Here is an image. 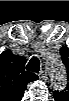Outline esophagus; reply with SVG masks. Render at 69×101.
I'll list each match as a JSON object with an SVG mask.
<instances>
[{
    "mask_svg": "<svg viewBox=\"0 0 69 101\" xmlns=\"http://www.w3.org/2000/svg\"><path fill=\"white\" fill-rule=\"evenodd\" d=\"M39 78L41 79V80H46L47 79V71L46 70H41L40 72H39Z\"/></svg>",
    "mask_w": 69,
    "mask_h": 101,
    "instance_id": "34e87169",
    "label": "esophagus"
}]
</instances>
